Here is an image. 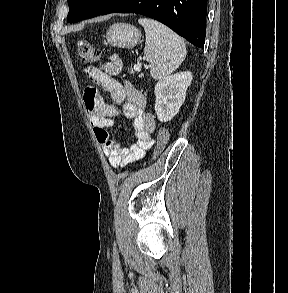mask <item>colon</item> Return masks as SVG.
Returning <instances> with one entry per match:
<instances>
[{
  "label": "colon",
  "mask_w": 288,
  "mask_h": 293,
  "mask_svg": "<svg viewBox=\"0 0 288 293\" xmlns=\"http://www.w3.org/2000/svg\"><path fill=\"white\" fill-rule=\"evenodd\" d=\"M78 56L85 64L95 63L100 59L99 49L91 42L80 39L77 41ZM169 140V131L165 127H161L157 133V145L154 152L156 158L165 148Z\"/></svg>",
  "instance_id": "colon-1"
}]
</instances>
